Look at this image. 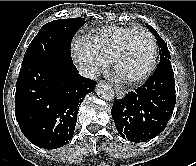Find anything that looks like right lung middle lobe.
<instances>
[{
    "label": "right lung middle lobe",
    "mask_w": 196,
    "mask_h": 166,
    "mask_svg": "<svg viewBox=\"0 0 196 166\" xmlns=\"http://www.w3.org/2000/svg\"><path fill=\"white\" fill-rule=\"evenodd\" d=\"M84 23V18L78 17L54 20L45 24L30 43L23 62L38 57H55L71 62V41Z\"/></svg>",
    "instance_id": "dd1d6c3e"
}]
</instances>
